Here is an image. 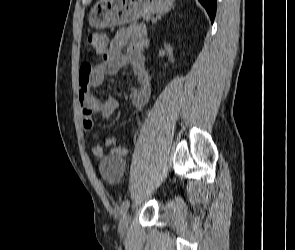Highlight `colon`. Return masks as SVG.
Masks as SVG:
<instances>
[{
  "label": "colon",
  "mask_w": 295,
  "mask_h": 250,
  "mask_svg": "<svg viewBox=\"0 0 295 250\" xmlns=\"http://www.w3.org/2000/svg\"><path fill=\"white\" fill-rule=\"evenodd\" d=\"M85 45L87 48L98 52L105 46V38L103 35L92 33L87 36Z\"/></svg>",
  "instance_id": "1"
}]
</instances>
